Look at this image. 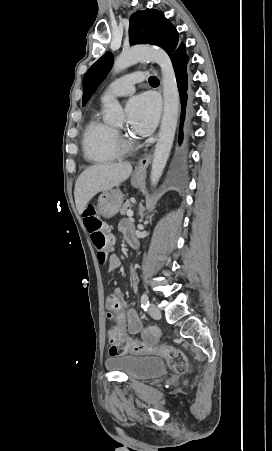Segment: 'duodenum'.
<instances>
[{"mask_svg":"<svg viewBox=\"0 0 272 451\" xmlns=\"http://www.w3.org/2000/svg\"><path fill=\"white\" fill-rule=\"evenodd\" d=\"M129 244L133 247V248H137L139 246V242L138 239L136 237H131L129 239Z\"/></svg>","mask_w":272,"mask_h":451,"instance_id":"duodenum-1","label":"duodenum"}]
</instances>
